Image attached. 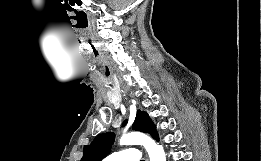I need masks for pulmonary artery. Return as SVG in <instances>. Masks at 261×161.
<instances>
[{
  "label": "pulmonary artery",
  "instance_id": "1",
  "mask_svg": "<svg viewBox=\"0 0 261 161\" xmlns=\"http://www.w3.org/2000/svg\"><path fill=\"white\" fill-rule=\"evenodd\" d=\"M140 154L137 149H121L103 159V161H139Z\"/></svg>",
  "mask_w": 261,
  "mask_h": 161
}]
</instances>
